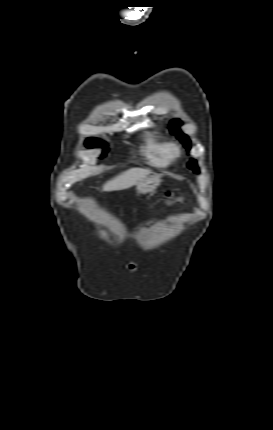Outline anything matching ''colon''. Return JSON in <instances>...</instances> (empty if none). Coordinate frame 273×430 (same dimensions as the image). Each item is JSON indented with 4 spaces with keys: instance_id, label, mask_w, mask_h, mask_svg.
Here are the masks:
<instances>
[{
    "instance_id": "obj_1",
    "label": "colon",
    "mask_w": 273,
    "mask_h": 430,
    "mask_svg": "<svg viewBox=\"0 0 273 430\" xmlns=\"http://www.w3.org/2000/svg\"><path fill=\"white\" fill-rule=\"evenodd\" d=\"M163 196H164V198H166V199H171V198H173V197H172V195H171V193H169V192H165Z\"/></svg>"
}]
</instances>
